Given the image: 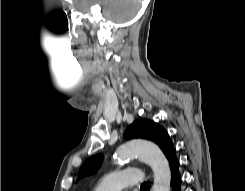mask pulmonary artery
<instances>
[{
  "mask_svg": "<svg viewBox=\"0 0 245 191\" xmlns=\"http://www.w3.org/2000/svg\"><path fill=\"white\" fill-rule=\"evenodd\" d=\"M143 174L136 168H125L106 176L94 191H121L139 184Z\"/></svg>",
  "mask_w": 245,
  "mask_h": 191,
  "instance_id": "1",
  "label": "pulmonary artery"
}]
</instances>
